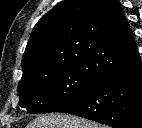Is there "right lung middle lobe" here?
I'll return each mask as SVG.
<instances>
[{
	"label": "right lung middle lobe",
	"mask_w": 142,
	"mask_h": 128,
	"mask_svg": "<svg viewBox=\"0 0 142 128\" xmlns=\"http://www.w3.org/2000/svg\"><path fill=\"white\" fill-rule=\"evenodd\" d=\"M98 80L81 65L32 74L18 85L19 105L28 113H51L73 100Z\"/></svg>",
	"instance_id": "dd1d6c3e"
}]
</instances>
